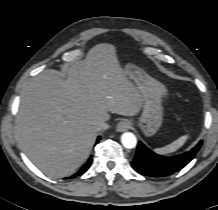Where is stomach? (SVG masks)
Here are the masks:
<instances>
[{"instance_id": "obj_1", "label": "stomach", "mask_w": 218, "mask_h": 210, "mask_svg": "<svg viewBox=\"0 0 218 210\" xmlns=\"http://www.w3.org/2000/svg\"><path fill=\"white\" fill-rule=\"evenodd\" d=\"M125 72L142 90L144 104L139 122L144 134L151 137L162 125L163 96L156 90L151 82V77L144 71L129 65Z\"/></svg>"}]
</instances>
